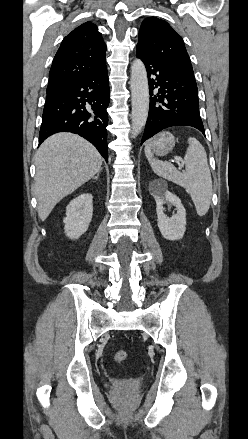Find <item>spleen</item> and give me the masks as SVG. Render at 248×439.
Returning a JSON list of instances; mask_svg holds the SVG:
<instances>
[{"mask_svg": "<svg viewBox=\"0 0 248 439\" xmlns=\"http://www.w3.org/2000/svg\"><path fill=\"white\" fill-rule=\"evenodd\" d=\"M188 144L184 157L186 165L184 172L178 171L169 162L155 159L149 146L145 147V155L154 173L182 186L191 196L197 214L204 216L210 208L212 198L211 173L206 151L201 143L196 138L190 137Z\"/></svg>", "mask_w": 248, "mask_h": 439, "instance_id": "3e777b00", "label": "spleen"}]
</instances>
